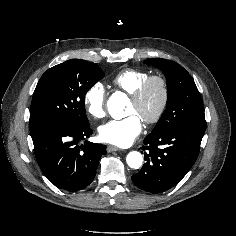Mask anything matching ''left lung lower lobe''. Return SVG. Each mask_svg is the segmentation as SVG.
<instances>
[{"label": "left lung lower lobe", "mask_w": 236, "mask_h": 236, "mask_svg": "<svg viewBox=\"0 0 236 236\" xmlns=\"http://www.w3.org/2000/svg\"><path fill=\"white\" fill-rule=\"evenodd\" d=\"M203 135L204 131L190 128L147 135L142 147L146 163L132 176L133 183L153 194L174 187L195 163Z\"/></svg>", "instance_id": "0a47b994"}]
</instances>
